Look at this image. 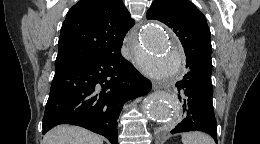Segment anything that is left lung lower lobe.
I'll use <instances>...</instances> for the list:
<instances>
[{"label": "left lung lower lobe", "mask_w": 260, "mask_h": 144, "mask_svg": "<svg viewBox=\"0 0 260 144\" xmlns=\"http://www.w3.org/2000/svg\"><path fill=\"white\" fill-rule=\"evenodd\" d=\"M189 72L176 83L178 98L183 104L180 123L172 134L199 130L210 134L217 143V122L212 102V68L187 61Z\"/></svg>", "instance_id": "obj_1"}]
</instances>
